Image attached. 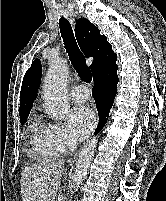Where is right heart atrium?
Masks as SVG:
<instances>
[{
  "label": "right heart atrium",
  "mask_w": 166,
  "mask_h": 201,
  "mask_svg": "<svg viewBox=\"0 0 166 201\" xmlns=\"http://www.w3.org/2000/svg\"><path fill=\"white\" fill-rule=\"evenodd\" d=\"M50 132L53 144L59 153L65 152L73 147L74 143L68 133L67 128L63 124H50Z\"/></svg>",
  "instance_id": "obj_1"
}]
</instances>
